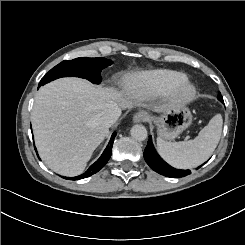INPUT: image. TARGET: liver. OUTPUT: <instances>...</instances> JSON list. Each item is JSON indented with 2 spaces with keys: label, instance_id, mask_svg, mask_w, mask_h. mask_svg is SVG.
I'll list each match as a JSON object with an SVG mask.
<instances>
[{
  "label": "liver",
  "instance_id": "obj_1",
  "mask_svg": "<svg viewBox=\"0 0 245 245\" xmlns=\"http://www.w3.org/2000/svg\"><path fill=\"white\" fill-rule=\"evenodd\" d=\"M139 90L118 91L94 86L79 78H60L41 87L35 97L31 122L41 159L64 176L81 174L94 150L109 134L100 114L110 105L120 109L146 107ZM154 111H162L155 108Z\"/></svg>",
  "mask_w": 245,
  "mask_h": 245
}]
</instances>
